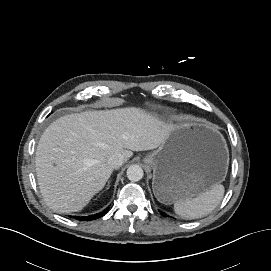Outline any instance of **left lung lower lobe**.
I'll return each mask as SVG.
<instances>
[{
  "label": "left lung lower lobe",
  "mask_w": 271,
  "mask_h": 271,
  "mask_svg": "<svg viewBox=\"0 0 271 271\" xmlns=\"http://www.w3.org/2000/svg\"><path fill=\"white\" fill-rule=\"evenodd\" d=\"M163 216H167L164 212H160Z\"/></svg>",
  "instance_id": "1"
}]
</instances>
